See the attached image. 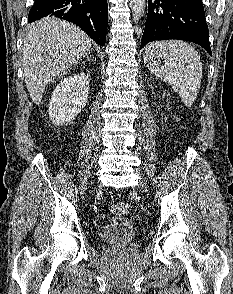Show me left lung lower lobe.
Masks as SVG:
<instances>
[{"instance_id": "left-lung-lower-lobe-1", "label": "left lung lower lobe", "mask_w": 233, "mask_h": 294, "mask_svg": "<svg viewBox=\"0 0 233 294\" xmlns=\"http://www.w3.org/2000/svg\"><path fill=\"white\" fill-rule=\"evenodd\" d=\"M180 39L202 46L210 55L202 0H149L141 48L155 40Z\"/></svg>"}]
</instances>
